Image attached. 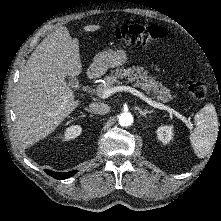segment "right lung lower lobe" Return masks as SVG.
I'll return each instance as SVG.
<instances>
[{
  "mask_svg": "<svg viewBox=\"0 0 221 221\" xmlns=\"http://www.w3.org/2000/svg\"><path fill=\"white\" fill-rule=\"evenodd\" d=\"M45 172L48 175H50V176H52L56 179H67V178L73 176L77 172V170L76 171H70V172H64V173L54 172V171H51V170H45Z\"/></svg>",
  "mask_w": 221,
  "mask_h": 221,
  "instance_id": "1",
  "label": "right lung lower lobe"
}]
</instances>
